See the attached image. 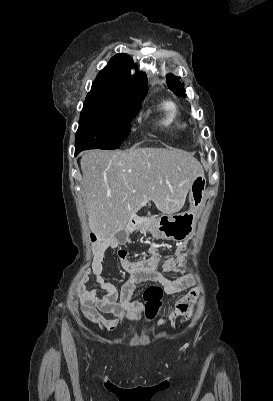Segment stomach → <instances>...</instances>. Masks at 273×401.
I'll list each match as a JSON object with an SVG mask.
<instances>
[{
  "instance_id": "obj_1",
  "label": "stomach",
  "mask_w": 273,
  "mask_h": 401,
  "mask_svg": "<svg viewBox=\"0 0 273 401\" xmlns=\"http://www.w3.org/2000/svg\"><path fill=\"white\" fill-rule=\"evenodd\" d=\"M206 178L203 174H196L188 192L189 211L178 215H161L146 231L157 239H171V241H186L196 231L197 213L205 203Z\"/></svg>"
}]
</instances>
